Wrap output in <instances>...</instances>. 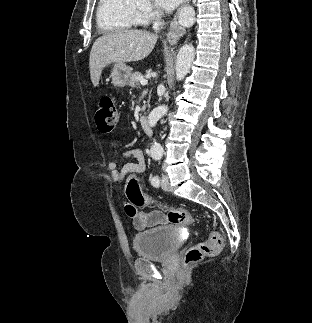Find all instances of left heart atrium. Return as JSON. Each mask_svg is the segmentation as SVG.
Listing matches in <instances>:
<instances>
[{"instance_id":"39dd6f15","label":"left heart atrium","mask_w":312,"mask_h":323,"mask_svg":"<svg viewBox=\"0 0 312 323\" xmlns=\"http://www.w3.org/2000/svg\"><path fill=\"white\" fill-rule=\"evenodd\" d=\"M180 4H183V0H151L149 7L161 8L162 12H175Z\"/></svg>"}]
</instances>
